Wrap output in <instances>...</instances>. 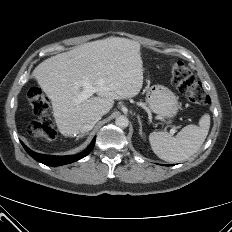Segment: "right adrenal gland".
Instances as JSON below:
<instances>
[{
	"label": "right adrenal gland",
	"instance_id": "obj_1",
	"mask_svg": "<svg viewBox=\"0 0 232 232\" xmlns=\"http://www.w3.org/2000/svg\"><path fill=\"white\" fill-rule=\"evenodd\" d=\"M87 134H88V133L78 135V136L76 137V140H78L79 138H82V137L86 136Z\"/></svg>",
	"mask_w": 232,
	"mask_h": 232
}]
</instances>
